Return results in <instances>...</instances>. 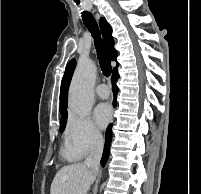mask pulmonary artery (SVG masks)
<instances>
[{
    "mask_svg": "<svg viewBox=\"0 0 201 194\" xmlns=\"http://www.w3.org/2000/svg\"><path fill=\"white\" fill-rule=\"evenodd\" d=\"M96 95L101 99H106L109 96V89L106 84H99L95 89Z\"/></svg>",
    "mask_w": 201,
    "mask_h": 194,
    "instance_id": "1",
    "label": "pulmonary artery"
}]
</instances>
